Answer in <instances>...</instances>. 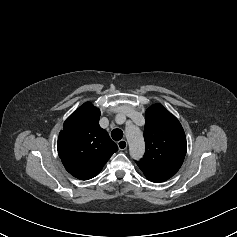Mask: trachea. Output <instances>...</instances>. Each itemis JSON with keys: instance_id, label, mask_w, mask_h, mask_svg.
<instances>
[{"instance_id": "3493384b", "label": "trachea", "mask_w": 237, "mask_h": 237, "mask_svg": "<svg viewBox=\"0 0 237 237\" xmlns=\"http://www.w3.org/2000/svg\"><path fill=\"white\" fill-rule=\"evenodd\" d=\"M111 136L113 140L119 141L123 137V131L121 129H114L111 132Z\"/></svg>"}]
</instances>
